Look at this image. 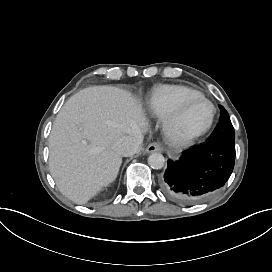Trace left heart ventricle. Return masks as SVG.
<instances>
[{"instance_id": "left-heart-ventricle-1", "label": "left heart ventricle", "mask_w": 272, "mask_h": 272, "mask_svg": "<svg viewBox=\"0 0 272 272\" xmlns=\"http://www.w3.org/2000/svg\"><path fill=\"white\" fill-rule=\"evenodd\" d=\"M210 115V105L203 99H195L184 108L177 124L181 130L199 129L208 123Z\"/></svg>"}]
</instances>
